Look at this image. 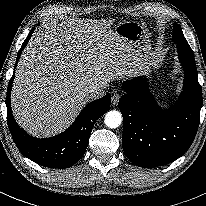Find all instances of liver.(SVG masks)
Listing matches in <instances>:
<instances>
[{
  "mask_svg": "<svg viewBox=\"0 0 206 206\" xmlns=\"http://www.w3.org/2000/svg\"><path fill=\"white\" fill-rule=\"evenodd\" d=\"M142 72L130 44L108 22L67 18L44 25L17 65L11 92L13 115L34 136L66 129L91 100L89 89Z\"/></svg>",
  "mask_w": 206,
  "mask_h": 206,
  "instance_id": "1",
  "label": "liver"
}]
</instances>
